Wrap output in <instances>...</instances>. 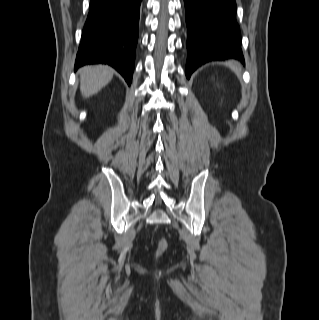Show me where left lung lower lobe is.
Masks as SVG:
<instances>
[{
    "mask_svg": "<svg viewBox=\"0 0 319 320\" xmlns=\"http://www.w3.org/2000/svg\"><path fill=\"white\" fill-rule=\"evenodd\" d=\"M188 30L186 76L211 60L244 63L235 0H184Z\"/></svg>",
    "mask_w": 319,
    "mask_h": 320,
    "instance_id": "obj_1",
    "label": "left lung lower lobe"
}]
</instances>
